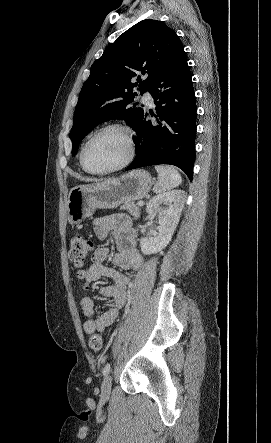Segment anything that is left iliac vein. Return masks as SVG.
Instances as JSON below:
<instances>
[{
  "label": "left iliac vein",
  "instance_id": "left-iliac-vein-1",
  "mask_svg": "<svg viewBox=\"0 0 271 443\" xmlns=\"http://www.w3.org/2000/svg\"><path fill=\"white\" fill-rule=\"evenodd\" d=\"M111 387H112V377L110 375H107L101 385V397L103 399H108L111 393Z\"/></svg>",
  "mask_w": 271,
  "mask_h": 443
}]
</instances>
